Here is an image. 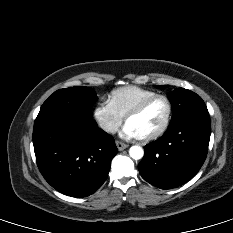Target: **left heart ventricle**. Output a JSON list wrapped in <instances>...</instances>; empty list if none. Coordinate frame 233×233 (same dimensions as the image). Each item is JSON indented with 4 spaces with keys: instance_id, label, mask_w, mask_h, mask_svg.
<instances>
[{
    "instance_id": "left-heart-ventricle-1",
    "label": "left heart ventricle",
    "mask_w": 233,
    "mask_h": 233,
    "mask_svg": "<svg viewBox=\"0 0 233 233\" xmlns=\"http://www.w3.org/2000/svg\"><path fill=\"white\" fill-rule=\"evenodd\" d=\"M166 113V103L158 99L151 103L141 114L129 119L127 123L138 132L140 137L147 136L162 126Z\"/></svg>"
}]
</instances>
